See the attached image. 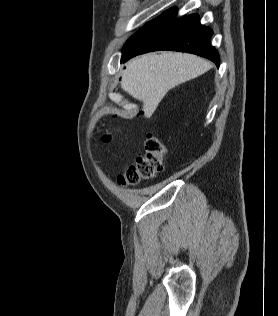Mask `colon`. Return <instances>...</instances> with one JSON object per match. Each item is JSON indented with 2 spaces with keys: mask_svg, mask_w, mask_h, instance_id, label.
<instances>
[{
  "mask_svg": "<svg viewBox=\"0 0 278 316\" xmlns=\"http://www.w3.org/2000/svg\"><path fill=\"white\" fill-rule=\"evenodd\" d=\"M103 141L110 142L111 135H104ZM144 147L145 153L139 156L136 162L118 177L119 184L124 186L136 185L143 180L155 177L163 170V157L166 148L160 138L153 133L147 134Z\"/></svg>",
  "mask_w": 278,
  "mask_h": 316,
  "instance_id": "5ec220e1",
  "label": "colon"
}]
</instances>
